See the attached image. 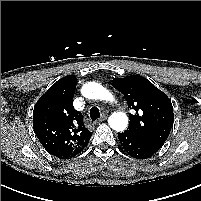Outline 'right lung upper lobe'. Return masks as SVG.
<instances>
[{
  "instance_id": "right-lung-upper-lobe-1",
  "label": "right lung upper lobe",
  "mask_w": 201,
  "mask_h": 201,
  "mask_svg": "<svg viewBox=\"0 0 201 201\" xmlns=\"http://www.w3.org/2000/svg\"><path fill=\"white\" fill-rule=\"evenodd\" d=\"M75 75H67L53 84L37 101L33 110V129L43 147L52 155L73 157L92 135L82 114L73 107Z\"/></svg>"
}]
</instances>
